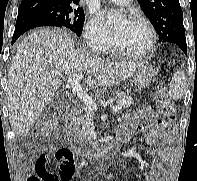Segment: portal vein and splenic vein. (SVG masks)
Wrapping results in <instances>:
<instances>
[{
    "label": "portal vein and splenic vein",
    "mask_w": 197,
    "mask_h": 181,
    "mask_svg": "<svg viewBox=\"0 0 197 181\" xmlns=\"http://www.w3.org/2000/svg\"><path fill=\"white\" fill-rule=\"evenodd\" d=\"M52 75L63 76L59 71H53ZM82 75L76 74L72 76H66L68 83L72 87L73 91L77 94V96L85 103V105L90 109L96 111L97 105L94 100L82 89L80 86V80L82 79ZM113 112H119L121 110L120 105H116L112 107Z\"/></svg>",
    "instance_id": "1"
}]
</instances>
